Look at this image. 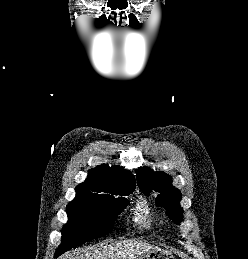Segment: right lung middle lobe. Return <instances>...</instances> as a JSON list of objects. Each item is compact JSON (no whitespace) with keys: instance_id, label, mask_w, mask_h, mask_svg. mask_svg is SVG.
<instances>
[{"instance_id":"dd1d6c3e","label":"right lung middle lobe","mask_w":248,"mask_h":259,"mask_svg":"<svg viewBox=\"0 0 248 259\" xmlns=\"http://www.w3.org/2000/svg\"><path fill=\"white\" fill-rule=\"evenodd\" d=\"M133 191H121L115 195L77 192L75 199L67 205L68 222L63 227L62 242L55 257L108 234L118 215L129 203L125 196Z\"/></svg>"}]
</instances>
